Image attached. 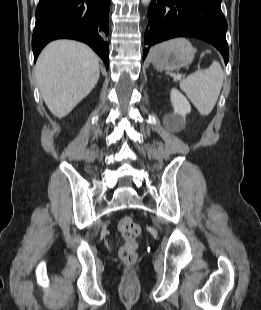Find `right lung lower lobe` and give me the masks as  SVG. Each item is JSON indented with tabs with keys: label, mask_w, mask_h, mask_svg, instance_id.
I'll return each instance as SVG.
<instances>
[{
	"label": "right lung lower lobe",
	"mask_w": 261,
	"mask_h": 310,
	"mask_svg": "<svg viewBox=\"0 0 261 310\" xmlns=\"http://www.w3.org/2000/svg\"><path fill=\"white\" fill-rule=\"evenodd\" d=\"M109 9L110 0H40L32 36L34 62L48 42L69 38L87 43L108 69Z\"/></svg>",
	"instance_id": "right-lung-lower-lobe-1"
}]
</instances>
